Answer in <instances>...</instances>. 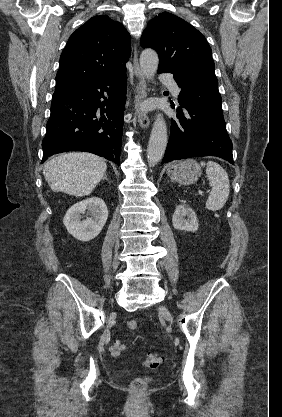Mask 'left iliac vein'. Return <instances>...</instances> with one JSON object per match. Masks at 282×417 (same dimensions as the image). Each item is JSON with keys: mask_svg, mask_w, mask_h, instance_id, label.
<instances>
[{"mask_svg": "<svg viewBox=\"0 0 282 417\" xmlns=\"http://www.w3.org/2000/svg\"><path fill=\"white\" fill-rule=\"evenodd\" d=\"M159 312L165 317L166 320L168 321L172 320V316L165 306L163 305L159 306Z\"/></svg>", "mask_w": 282, "mask_h": 417, "instance_id": "1", "label": "left iliac vein"}]
</instances>
